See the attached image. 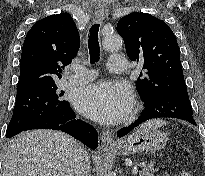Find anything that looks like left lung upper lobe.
Segmentation results:
<instances>
[{"label": "left lung upper lobe", "instance_id": "5c2ea615", "mask_svg": "<svg viewBox=\"0 0 205 176\" xmlns=\"http://www.w3.org/2000/svg\"><path fill=\"white\" fill-rule=\"evenodd\" d=\"M117 32L124 39L128 57L143 63L145 72L136 83L143 100L170 86H186L176 37L164 21L133 12L119 20Z\"/></svg>", "mask_w": 205, "mask_h": 176}]
</instances>
